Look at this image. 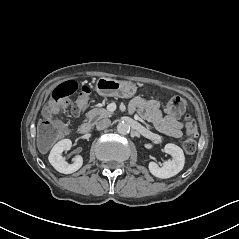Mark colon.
<instances>
[{"mask_svg": "<svg viewBox=\"0 0 239 239\" xmlns=\"http://www.w3.org/2000/svg\"><path fill=\"white\" fill-rule=\"evenodd\" d=\"M79 90L78 98L72 107V112L79 114L90 100V88L86 85L79 87L74 80H69L57 85L47 99L45 108V118L42 120L39 132L44 145L57 140L63 134L62 125L54 119V114L67 102V100ZM167 112L172 116H179L186 110V101L181 96H173L169 99ZM186 139L183 142L185 151L189 154L194 153L197 147V125L190 116H185Z\"/></svg>", "mask_w": 239, "mask_h": 239, "instance_id": "obj_1", "label": "colon"}]
</instances>
